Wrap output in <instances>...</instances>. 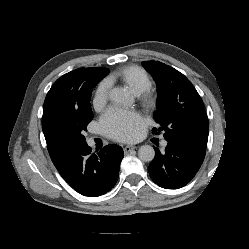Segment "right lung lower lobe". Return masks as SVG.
<instances>
[{
  "instance_id": "1",
  "label": "right lung lower lobe",
  "mask_w": 249,
  "mask_h": 249,
  "mask_svg": "<svg viewBox=\"0 0 249 249\" xmlns=\"http://www.w3.org/2000/svg\"><path fill=\"white\" fill-rule=\"evenodd\" d=\"M123 156V150L118 145H107L96 155L85 143L62 147L51 159L74 190L96 197L107 193L116 184Z\"/></svg>"
}]
</instances>
